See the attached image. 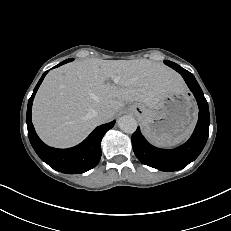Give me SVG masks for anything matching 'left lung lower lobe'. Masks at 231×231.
Returning <instances> with one entry per match:
<instances>
[{"label":"left lung lower lobe","instance_id":"0a47b994","mask_svg":"<svg viewBox=\"0 0 231 231\" xmlns=\"http://www.w3.org/2000/svg\"><path fill=\"white\" fill-rule=\"evenodd\" d=\"M194 94L199 106V119L190 139L178 148L165 150L149 144L140 132L139 127L131 140L136 157L145 165L161 171H177L194 161L203 150L209 135L210 115L208 103L193 74L176 68Z\"/></svg>","mask_w":231,"mask_h":231}]
</instances>
